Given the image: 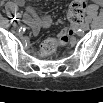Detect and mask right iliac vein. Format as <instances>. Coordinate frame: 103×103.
Instances as JSON below:
<instances>
[{"mask_svg": "<svg viewBox=\"0 0 103 103\" xmlns=\"http://www.w3.org/2000/svg\"><path fill=\"white\" fill-rule=\"evenodd\" d=\"M13 25H14L15 27L19 26V25H20V21H19V20L13 21Z\"/></svg>", "mask_w": 103, "mask_h": 103, "instance_id": "1", "label": "right iliac vein"}]
</instances>
